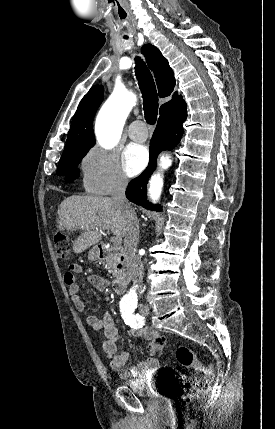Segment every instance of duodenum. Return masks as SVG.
Returning a JSON list of instances; mask_svg holds the SVG:
<instances>
[{
    "instance_id": "duodenum-1",
    "label": "duodenum",
    "mask_w": 275,
    "mask_h": 429,
    "mask_svg": "<svg viewBox=\"0 0 275 429\" xmlns=\"http://www.w3.org/2000/svg\"><path fill=\"white\" fill-rule=\"evenodd\" d=\"M96 252H97V256L100 260H105L111 257H115L118 259L120 265H119V272L115 278V280L113 281L112 287L113 290L117 293V294H122L126 287H127V283H128V275L127 273L124 271L123 269V262H124V253L122 252V250H115V249H111L109 247H106L103 244H99L96 248Z\"/></svg>"
}]
</instances>
